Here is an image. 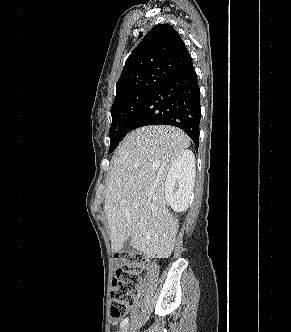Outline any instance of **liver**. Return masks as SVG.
Wrapping results in <instances>:
<instances>
[{
	"instance_id": "6515ba94",
	"label": "liver",
	"mask_w": 291,
	"mask_h": 332,
	"mask_svg": "<svg viewBox=\"0 0 291 332\" xmlns=\"http://www.w3.org/2000/svg\"><path fill=\"white\" fill-rule=\"evenodd\" d=\"M190 138L172 126H145L130 132L117 148L104 210L113 252L131 246L149 258H168L178 222L167 208L165 180Z\"/></svg>"
}]
</instances>
